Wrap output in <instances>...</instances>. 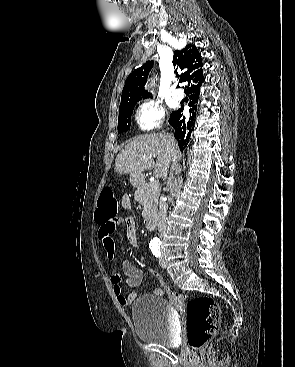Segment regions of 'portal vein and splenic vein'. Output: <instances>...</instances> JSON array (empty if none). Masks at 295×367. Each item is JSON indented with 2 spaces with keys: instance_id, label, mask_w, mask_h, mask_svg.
<instances>
[{
  "instance_id": "18ae733b",
  "label": "portal vein and splenic vein",
  "mask_w": 295,
  "mask_h": 367,
  "mask_svg": "<svg viewBox=\"0 0 295 367\" xmlns=\"http://www.w3.org/2000/svg\"><path fill=\"white\" fill-rule=\"evenodd\" d=\"M153 186H154L155 188H158V186H159V182H158V181H154V182H153Z\"/></svg>"
}]
</instances>
